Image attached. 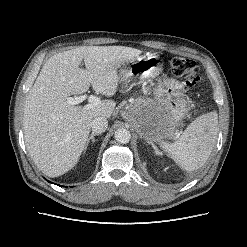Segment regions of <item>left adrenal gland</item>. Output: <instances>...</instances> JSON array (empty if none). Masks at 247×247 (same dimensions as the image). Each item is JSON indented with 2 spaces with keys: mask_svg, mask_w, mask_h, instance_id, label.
<instances>
[{
  "mask_svg": "<svg viewBox=\"0 0 247 247\" xmlns=\"http://www.w3.org/2000/svg\"><path fill=\"white\" fill-rule=\"evenodd\" d=\"M148 143L151 144L152 148L154 149V151H155L156 153L159 152L158 149H157V147L155 146V144H154L152 141H150V142L148 141Z\"/></svg>",
  "mask_w": 247,
  "mask_h": 247,
  "instance_id": "left-adrenal-gland-1",
  "label": "left adrenal gland"
}]
</instances>
